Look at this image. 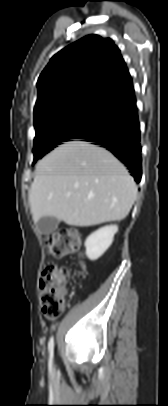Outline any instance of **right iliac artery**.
<instances>
[{
	"label": "right iliac artery",
	"instance_id": "obj_1",
	"mask_svg": "<svg viewBox=\"0 0 168 406\" xmlns=\"http://www.w3.org/2000/svg\"><path fill=\"white\" fill-rule=\"evenodd\" d=\"M48 350H49V361L52 363L53 355H54V338L53 336L50 338L48 342Z\"/></svg>",
	"mask_w": 168,
	"mask_h": 406
}]
</instances>
